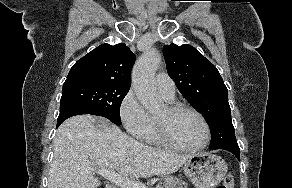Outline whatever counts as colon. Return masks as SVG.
<instances>
[{
  "label": "colon",
  "instance_id": "obj_1",
  "mask_svg": "<svg viewBox=\"0 0 292 188\" xmlns=\"http://www.w3.org/2000/svg\"><path fill=\"white\" fill-rule=\"evenodd\" d=\"M233 185H234L233 176L230 172H228L217 188H233Z\"/></svg>",
  "mask_w": 292,
  "mask_h": 188
}]
</instances>
